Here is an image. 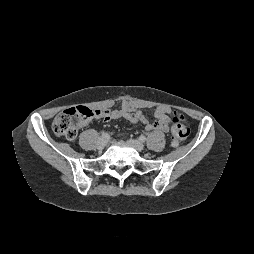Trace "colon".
<instances>
[{
	"mask_svg": "<svg viewBox=\"0 0 254 254\" xmlns=\"http://www.w3.org/2000/svg\"><path fill=\"white\" fill-rule=\"evenodd\" d=\"M98 110H92L85 106L69 108L59 113L53 120L52 129L58 136L67 140H74L80 126L88 121L98 118ZM172 144L178 146L190 134V128L185 118L177 113L170 112Z\"/></svg>",
	"mask_w": 254,
	"mask_h": 254,
	"instance_id": "obj_1",
	"label": "colon"
}]
</instances>
